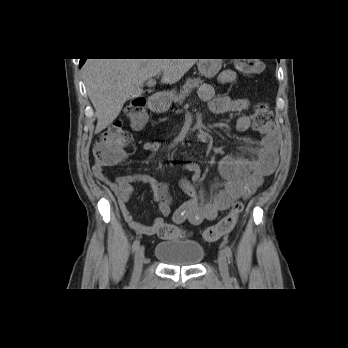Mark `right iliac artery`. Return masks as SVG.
<instances>
[{"label": "right iliac artery", "mask_w": 348, "mask_h": 348, "mask_svg": "<svg viewBox=\"0 0 348 348\" xmlns=\"http://www.w3.org/2000/svg\"><path fill=\"white\" fill-rule=\"evenodd\" d=\"M139 245H140V241L138 239H136L134 242H133V245H132V251L133 252H136L139 248Z\"/></svg>", "instance_id": "obj_1"}]
</instances>
